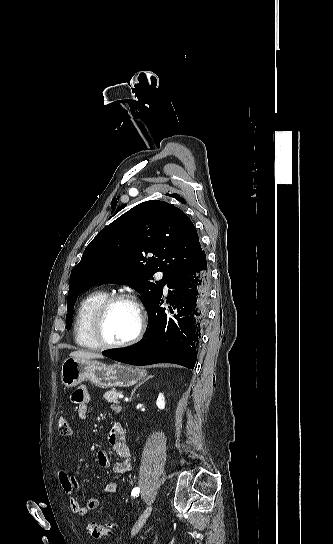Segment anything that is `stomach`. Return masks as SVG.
Returning <instances> with one entry per match:
<instances>
[{"label": "stomach", "mask_w": 333, "mask_h": 544, "mask_svg": "<svg viewBox=\"0 0 333 544\" xmlns=\"http://www.w3.org/2000/svg\"><path fill=\"white\" fill-rule=\"evenodd\" d=\"M146 375L144 369L119 363L107 366L98 361L68 358L62 364L61 381L68 388L85 380L100 387H127Z\"/></svg>", "instance_id": "obj_1"}]
</instances>
